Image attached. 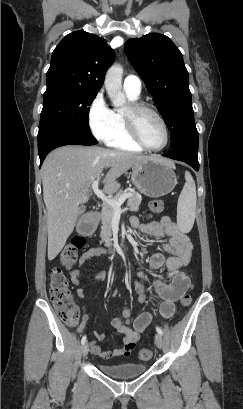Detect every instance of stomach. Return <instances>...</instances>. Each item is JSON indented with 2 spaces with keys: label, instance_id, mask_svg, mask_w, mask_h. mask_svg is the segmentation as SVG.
I'll return each instance as SVG.
<instances>
[{
  "label": "stomach",
  "instance_id": "0dacf381",
  "mask_svg": "<svg viewBox=\"0 0 243 409\" xmlns=\"http://www.w3.org/2000/svg\"><path fill=\"white\" fill-rule=\"evenodd\" d=\"M174 165L162 158L151 157L133 167L131 181L142 194L158 198L170 193L177 184Z\"/></svg>",
  "mask_w": 243,
  "mask_h": 409
}]
</instances>
